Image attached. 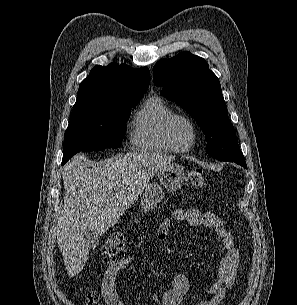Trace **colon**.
Here are the masks:
<instances>
[{
	"label": "colon",
	"mask_w": 297,
	"mask_h": 305,
	"mask_svg": "<svg viewBox=\"0 0 297 305\" xmlns=\"http://www.w3.org/2000/svg\"><path fill=\"white\" fill-rule=\"evenodd\" d=\"M189 181L193 186H203L205 184L204 172L199 168L191 170ZM126 246L127 238L123 230L117 229L110 232L102 250L104 262L112 264L124 260Z\"/></svg>",
	"instance_id": "1"
}]
</instances>
